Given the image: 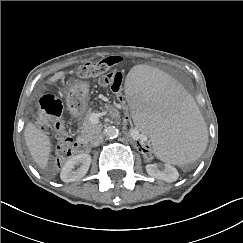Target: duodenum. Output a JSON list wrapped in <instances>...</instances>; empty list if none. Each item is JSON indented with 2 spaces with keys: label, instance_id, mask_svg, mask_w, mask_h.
Instances as JSON below:
<instances>
[{
  "label": "duodenum",
  "instance_id": "1",
  "mask_svg": "<svg viewBox=\"0 0 243 243\" xmlns=\"http://www.w3.org/2000/svg\"><path fill=\"white\" fill-rule=\"evenodd\" d=\"M74 149L77 153H84L88 149V144L84 139H78L74 143Z\"/></svg>",
  "mask_w": 243,
  "mask_h": 243
}]
</instances>
